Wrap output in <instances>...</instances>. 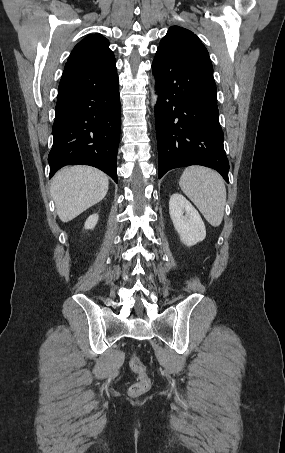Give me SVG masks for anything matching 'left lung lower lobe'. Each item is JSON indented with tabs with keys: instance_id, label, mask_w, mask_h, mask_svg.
<instances>
[{
	"instance_id": "0a47b994",
	"label": "left lung lower lobe",
	"mask_w": 285,
	"mask_h": 453,
	"mask_svg": "<svg viewBox=\"0 0 285 453\" xmlns=\"http://www.w3.org/2000/svg\"><path fill=\"white\" fill-rule=\"evenodd\" d=\"M152 70L159 95L155 107L158 178L173 168L202 165L217 170L228 182L213 75L159 50Z\"/></svg>"
}]
</instances>
